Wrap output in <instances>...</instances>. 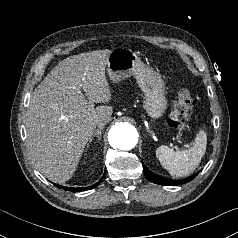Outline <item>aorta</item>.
Masks as SVG:
<instances>
[{
	"mask_svg": "<svg viewBox=\"0 0 238 238\" xmlns=\"http://www.w3.org/2000/svg\"><path fill=\"white\" fill-rule=\"evenodd\" d=\"M108 140L114 148L130 150L138 142V133L135 127L128 123H116L110 129Z\"/></svg>",
	"mask_w": 238,
	"mask_h": 238,
	"instance_id": "aorta-1",
	"label": "aorta"
}]
</instances>
